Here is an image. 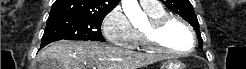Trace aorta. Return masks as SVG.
Instances as JSON below:
<instances>
[{"label": "aorta", "instance_id": "1", "mask_svg": "<svg viewBox=\"0 0 246 69\" xmlns=\"http://www.w3.org/2000/svg\"><path fill=\"white\" fill-rule=\"evenodd\" d=\"M121 4L125 15L134 26L147 18L137 0H122Z\"/></svg>", "mask_w": 246, "mask_h": 69}]
</instances>
